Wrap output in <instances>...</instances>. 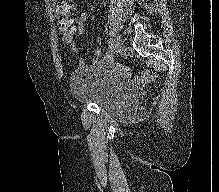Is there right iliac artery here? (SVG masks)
Segmentation results:
<instances>
[{
    "mask_svg": "<svg viewBox=\"0 0 219 192\" xmlns=\"http://www.w3.org/2000/svg\"><path fill=\"white\" fill-rule=\"evenodd\" d=\"M108 45H109V50L106 53V57H105L106 59H110L113 56V45H114V43H113V40L111 38L109 39Z\"/></svg>",
    "mask_w": 219,
    "mask_h": 192,
    "instance_id": "1",
    "label": "right iliac artery"
}]
</instances>
